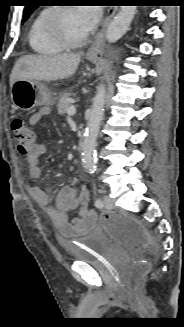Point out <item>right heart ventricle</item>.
Segmentation results:
<instances>
[{
	"mask_svg": "<svg viewBox=\"0 0 184 327\" xmlns=\"http://www.w3.org/2000/svg\"><path fill=\"white\" fill-rule=\"evenodd\" d=\"M51 8H44L33 18L29 31L28 42L32 50L41 55H55L65 50L47 32L46 20Z\"/></svg>",
	"mask_w": 184,
	"mask_h": 327,
	"instance_id": "1",
	"label": "right heart ventricle"
}]
</instances>
